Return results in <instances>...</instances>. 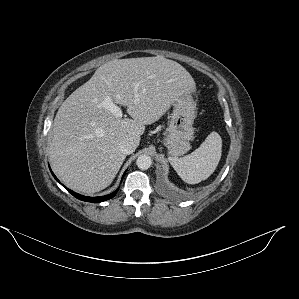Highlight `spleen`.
<instances>
[{
    "label": "spleen",
    "instance_id": "spleen-1",
    "mask_svg": "<svg viewBox=\"0 0 299 299\" xmlns=\"http://www.w3.org/2000/svg\"><path fill=\"white\" fill-rule=\"evenodd\" d=\"M221 154L222 139L213 131L195 151L181 158L169 157V162L184 182L197 184L215 171Z\"/></svg>",
    "mask_w": 299,
    "mask_h": 299
}]
</instances>
